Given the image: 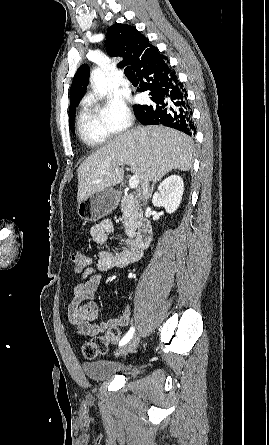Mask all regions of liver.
Wrapping results in <instances>:
<instances>
[{
	"label": "liver",
	"instance_id": "obj_1",
	"mask_svg": "<svg viewBox=\"0 0 269 445\" xmlns=\"http://www.w3.org/2000/svg\"><path fill=\"white\" fill-rule=\"evenodd\" d=\"M192 140L179 131L163 126H146L124 132L92 153L78 168L77 202L123 181L129 165L143 185L157 182L173 169L192 167Z\"/></svg>",
	"mask_w": 269,
	"mask_h": 445
}]
</instances>
